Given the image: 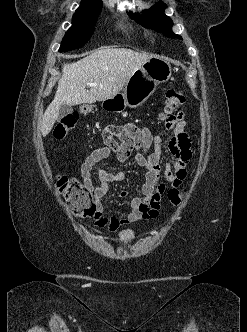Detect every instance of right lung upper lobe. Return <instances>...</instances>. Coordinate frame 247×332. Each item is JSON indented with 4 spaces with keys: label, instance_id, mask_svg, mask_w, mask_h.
<instances>
[{
    "label": "right lung upper lobe",
    "instance_id": "1",
    "mask_svg": "<svg viewBox=\"0 0 247 332\" xmlns=\"http://www.w3.org/2000/svg\"><path fill=\"white\" fill-rule=\"evenodd\" d=\"M102 6L101 0H82L78 9H91Z\"/></svg>",
    "mask_w": 247,
    "mask_h": 332
}]
</instances>
